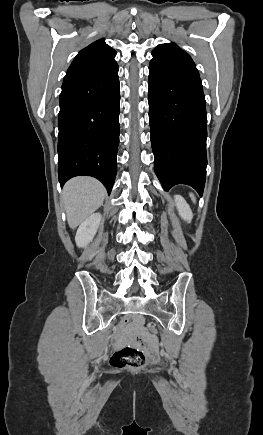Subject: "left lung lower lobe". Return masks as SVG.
<instances>
[{
  "mask_svg": "<svg viewBox=\"0 0 263 435\" xmlns=\"http://www.w3.org/2000/svg\"><path fill=\"white\" fill-rule=\"evenodd\" d=\"M148 102L154 170L163 188L187 184L202 195L207 118L201 79L151 60Z\"/></svg>",
  "mask_w": 263,
  "mask_h": 435,
  "instance_id": "left-lung-lower-lobe-1",
  "label": "left lung lower lobe"
}]
</instances>
